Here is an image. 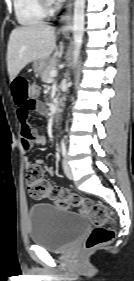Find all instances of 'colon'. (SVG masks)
<instances>
[{"label": "colon", "instance_id": "5ec220e1", "mask_svg": "<svg viewBox=\"0 0 134 281\" xmlns=\"http://www.w3.org/2000/svg\"><path fill=\"white\" fill-rule=\"evenodd\" d=\"M28 95L32 100H37L41 95V87L37 83H31ZM26 184L29 194L35 199L49 198L56 202L61 208L69 206L78 207L86 214L94 229L88 236L85 246L87 249H95L112 242L115 233L106 224L111 220L108 209L101 203H93L77 194L53 186L44 178L43 170L40 166L32 165L26 171Z\"/></svg>", "mask_w": 134, "mask_h": 281}]
</instances>
